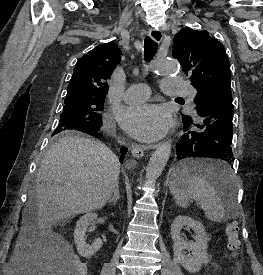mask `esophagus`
Segmentation results:
<instances>
[{
  "label": "esophagus",
  "instance_id": "esophagus-1",
  "mask_svg": "<svg viewBox=\"0 0 263 275\" xmlns=\"http://www.w3.org/2000/svg\"><path fill=\"white\" fill-rule=\"evenodd\" d=\"M149 36L157 43H160L163 38V34L160 30L157 29H150ZM158 146V144H151V145H139V144H132V155L135 158H140L143 156L144 150L146 149H154Z\"/></svg>",
  "mask_w": 263,
  "mask_h": 275
}]
</instances>
